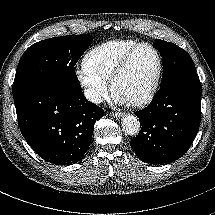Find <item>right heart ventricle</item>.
Listing matches in <instances>:
<instances>
[{
	"instance_id": "e07e8e85",
	"label": "right heart ventricle",
	"mask_w": 215,
	"mask_h": 215,
	"mask_svg": "<svg viewBox=\"0 0 215 215\" xmlns=\"http://www.w3.org/2000/svg\"><path fill=\"white\" fill-rule=\"evenodd\" d=\"M137 43L132 39H117L102 43L84 56L83 69L90 76L108 83L120 59Z\"/></svg>"
}]
</instances>
